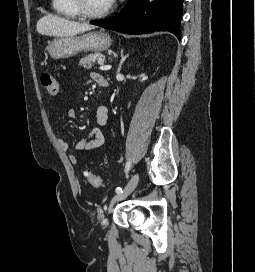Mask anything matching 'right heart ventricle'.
<instances>
[{
	"instance_id": "e07e8e85",
	"label": "right heart ventricle",
	"mask_w": 255,
	"mask_h": 272,
	"mask_svg": "<svg viewBox=\"0 0 255 272\" xmlns=\"http://www.w3.org/2000/svg\"><path fill=\"white\" fill-rule=\"evenodd\" d=\"M51 6L53 11L61 16L69 18H77L80 16L73 0H52Z\"/></svg>"
}]
</instances>
